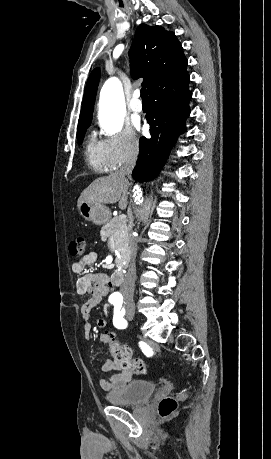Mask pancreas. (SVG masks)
Wrapping results in <instances>:
<instances>
[{
  "label": "pancreas",
  "mask_w": 271,
  "mask_h": 459,
  "mask_svg": "<svg viewBox=\"0 0 271 459\" xmlns=\"http://www.w3.org/2000/svg\"><path fill=\"white\" fill-rule=\"evenodd\" d=\"M126 218H122V216H118V218H113L107 226H103L101 229V235L103 239H107L110 245H116L119 247V253L124 255L126 250L121 247H125L128 243V231L126 224Z\"/></svg>",
  "instance_id": "obj_1"
}]
</instances>
